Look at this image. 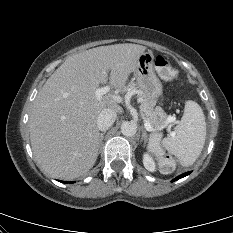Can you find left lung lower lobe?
<instances>
[{
  "label": "left lung lower lobe",
  "mask_w": 233,
  "mask_h": 233,
  "mask_svg": "<svg viewBox=\"0 0 233 233\" xmlns=\"http://www.w3.org/2000/svg\"><path fill=\"white\" fill-rule=\"evenodd\" d=\"M190 173H191V172L183 173V174L179 175L178 177H176L175 179H173L172 182H174V181H176V180H178V179H181V178H183V177L189 175Z\"/></svg>",
  "instance_id": "0a47b994"
}]
</instances>
